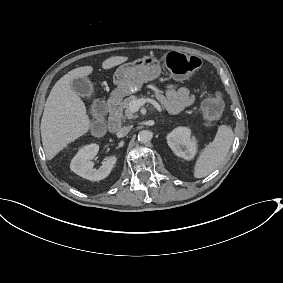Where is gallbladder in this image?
<instances>
[{
	"instance_id": "gallbladder-1",
	"label": "gallbladder",
	"mask_w": 283,
	"mask_h": 283,
	"mask_svg": "<svg viewBox=\"0 0 283 283\" xmlns=\"http://www.w3.org/2000/svg\"><path fill=\"white\" fill-rule=\"evenodd\" d=\"M72 88L80 96L91 94L93 89L91 82L88 79L80 78L72 83Z\"/></svg>"
}]
</instances>
